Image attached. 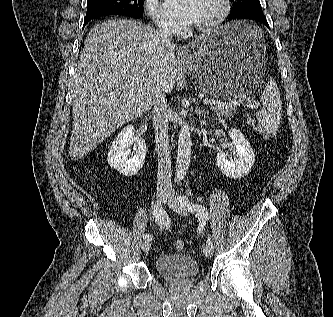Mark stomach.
<instances>
[{
	"label": "stomach",
	"instance_id": "0dacf381",
	"mask_svg": "<svg viewBox=\"0 0 333 317\" xmlns=\"http://www.w3.org/2000/svg\"><path fill=\"white\" fill-rule=\"evenodd\" d=\"M261 24L236 21L206 35L186 64L203 92L226 101L262 95L270 82L265 70Z\"/></svg>",
	"mask_w": 333,
	"mask_h": 317
}]
</instances>
